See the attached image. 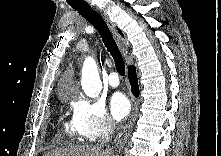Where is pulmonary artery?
Masks as SVG:
<instances>
[{
  "label": "pulmonary artery",
  "mask_w": 221,
  "mask_h": 156,
  "mask_svg": "<svg viewBox=\"0 0 221 156\" xmlns=\"http://www.w3.org/2000/svg\"><path fill=\"white\" fill-rule=\"evenodd\" d=\"M108 83L112 87H117L119 85V78L116 72H111L108 76Z\"/></svg>",
  "instance_id": "obj_1"
}]
</instances>
